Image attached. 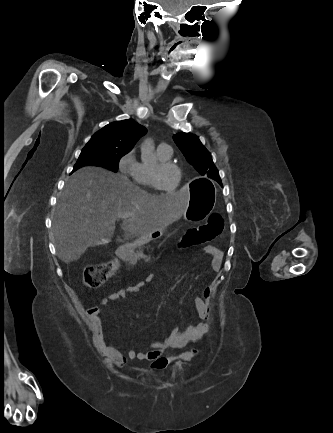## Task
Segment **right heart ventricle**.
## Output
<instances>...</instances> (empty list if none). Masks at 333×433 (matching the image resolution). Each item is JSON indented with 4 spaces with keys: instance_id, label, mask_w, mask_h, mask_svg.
<instances>
[{
    "instance_id": "obj_1",
    "label": "right heart ventricle",
    "mask_w": 333,
    "mask_h": 433,
    "mask_svg": "<svg viewBox=\"0 0 333 433\" xmlns=\"http://www.w3.org/2000/svg\"><path fill=\"white\" fill-rule=\"evenodd\" d=\"M157 157H158L159 162H165V161H169L171 156H167V155L157 151ZM151 169H152L151 166L144 164V163H140L138 174H137L135 180L138 184H140L142 186L156 190L157 188L154 185V183L152 181V177H151Z\"/></svg>"
}]
</instances>
